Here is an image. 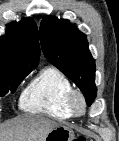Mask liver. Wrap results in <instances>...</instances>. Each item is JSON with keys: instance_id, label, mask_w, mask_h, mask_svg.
<instances>
[{"instance_id": "1", "label": "liver", "mask_w": 119, "mask_h": 141, "mask_svg": "<svg viewBox=\"0 0 119 141\" xmlns=\"http://www.w3.org/2000/svg\"><path fill=\"white\" fill-rule=\"evenodd\" d=\"M61 124L45 117L20 118L0 132V141H44Z\"/></svg>"}]
</instances>
